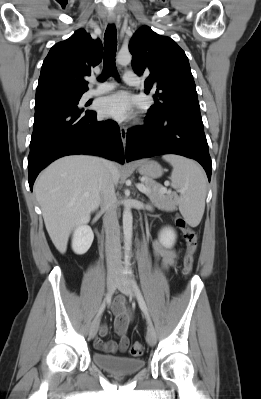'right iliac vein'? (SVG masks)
<instances>
[{"instance_id": "1", "label": "right iliac vein", "mask_w": 261, "mask_h": 399, "mask_svg": "<svg viewBox=\"0 0 261 399\" xmlns=\"http://www.w3.org/2000/svg\"><path fill=\"white\" fill-rule=\"evenodd\" d=\"M118 282V277L115 274H109L107 276V289L109 293H113L115 288H116V284ZM99 318H95L93 320V322L90 325L89 328V337L90 338H94L97 334L98 328H99Z\"/></svg>"}]
</instances>
